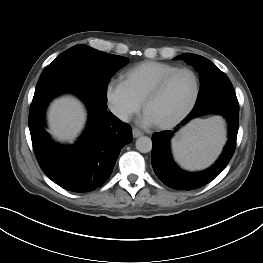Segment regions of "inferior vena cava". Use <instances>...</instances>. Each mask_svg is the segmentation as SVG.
<instances>
[{"instance_id": "602c4592", "label": "inferior vena cava", "mask_w": 263, "mask_h": 263, "mask_svg": "<svg viewBox=\"0 0 263 263\" xmlns=\"http://www.w3.org/2000/svg\"><path fill=\"white\" fill-rule=\"evenodd\" d=\"M112 112L123 122H128L129 121V117H128V113L124 110L121 109H112Z\"/></svg>"}]
</instances>
